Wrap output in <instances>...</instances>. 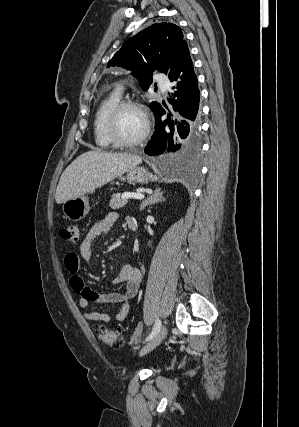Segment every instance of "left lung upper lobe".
I'll list each match as a JSON object with an SVG mask.
<instances>
[{
    "label": "left lung upper lobe",
    "instance_id": "5c2ea615",
    "mask_svg": "<svg viewBox=\"0 0 299 427\" xmlns=\"http://www.w3.org/2000/svg\"><path fill=\"white\" fill-rule=\"evenodd\" d=\"M182 41L183 33L177 25L153 24L125 41L108 62V67L122 66L131 70L140 80L143 90L147 91L152 84L153 71L168 74ZM158 105L152 102V111Z\"/></svg>",
    "mask_w": 299,
    "mask_h": 427
}]
</instances>
